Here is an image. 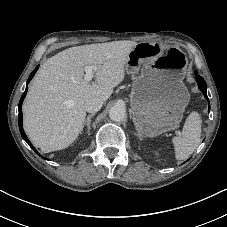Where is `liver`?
<instances>
[{"instance_id":"6515ba94","label":"liver","mask_w":227,"mask_h":227,"mask_svg":"<svg viewBox=\"0 0 227 227\" xmlns=\"http://www.w3.org/2000/svg\"><path fill=\"white\" fill-rule=\"evenodd\" d=\"M136 45L128 40L82 45L46 60L23 104V126L32 143L44 153L72 144L83 130L86 101L111 96ZM88 65L97 67L93 83L84 80Z\"/></svg>"}]
</instances>
